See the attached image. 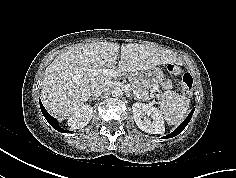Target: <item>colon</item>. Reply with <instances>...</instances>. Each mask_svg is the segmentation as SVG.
Segmentation results:
<instances>
[{
    "label": "colon",
    "mask_w": 236,
    "mask_h": 178,
    "mask_svg": "<svg viewBox=\"0 0 236 178\" xmlns=\"http://www.w3.org/2000/svg\"><path fill=\"white\" fill-rule=\"evenodd\" d=\"M168 72L175 77L181 78V90L182 93L186 96L191 95L192 88H193V78L189 73H185L179 65L176 64H169Z\"/></svg>",
    "instance_id": "obj_1"
}]
</instances>
